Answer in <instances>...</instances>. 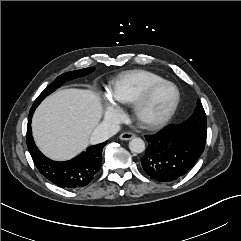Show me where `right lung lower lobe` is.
Returning <instances> with one entry per match:
<instances>
[{"label": "right lung lower lobe", "instance_id": "right-lung-lower-lobe-1", "mask_svg": "<svg viewBox=\"0 0 241 241\" xmlns=\"http://www.w3.org/2000/svg\"><path fill=\"white\" fill-rule=\"evenodd\" d=\"M35 109L32 106L29 112L26 137L28 150L39 172L52 183L66 189L89 184L101 168L102 150L107 141L88 147L85 152L69 161H52L38 150L32 137L31 119Z\"/></svg>", "mask_w": 241, "mask_h": 241}]
</instances>
